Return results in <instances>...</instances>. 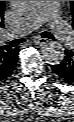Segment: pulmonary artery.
<instances>
[{
    "mask_svg": "<svg viewBox=\"0 0 74 122\" xmlns=\"http://www.w3.org/2000/svg\"><path fill=\"white\" fill-rule=\"evenodd\" d=\"M59 1H38L35 8L25 15L11 30L9 35H24L49 22L55 35L65 46L72 45L74 37L63 23L58 13Z\"/></svg>",
    "mask_w": 74,
    "mask_h": 122,
    "instance_id": "1",
    "label": "pulmonary artery"
}]
</instances>
